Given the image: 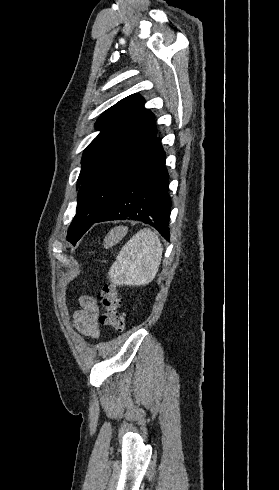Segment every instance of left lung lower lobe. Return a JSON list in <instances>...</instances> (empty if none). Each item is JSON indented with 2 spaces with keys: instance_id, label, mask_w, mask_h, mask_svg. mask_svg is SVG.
Wrapping results in <instances>:
<instances>
[{
  "instance_id": "left-lung-lower-lobe-1",
  "label": "left lung lower lobe",
  "mask_w": 279,
  "mask_h": 490,
  "mask_svg": "<svg viewBox=\"0 0 279 490\" xmlns=\"http://www.w3.org/2000/svg\"><path fill=\"white\" fill-rule=\"evenodd\" d=\"M171 199L165 152L155 138L128 175L110 208L95 222L137 220L153 226L169 241Z\"/></svg>"
}]
</instances>
